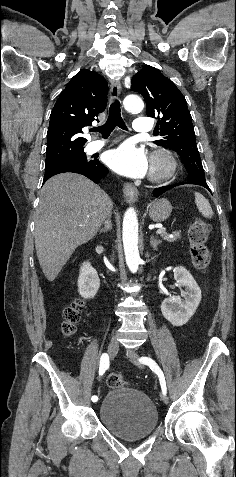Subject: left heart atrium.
Returning <instances> with one entry per match:
<instances>
[{"mask_svg":"<svg viewBox=\"0 0 236 477\" xmlns=\"http://www.w3.org/2000/svg\"><path fill=\"white\" fill-rule=\"evenodd\" d=\"M105 162L115 172L131 177H144L150 170V161L143 148L125 142L106 153Z\"/></svg>","mask_w":236,"mask_h":477,"instance_id":"left-heart-atrium-1","label":"left heart atrium"}]
</instances>
